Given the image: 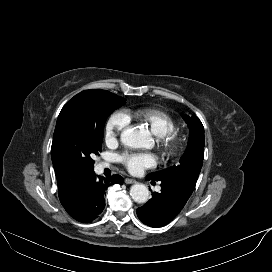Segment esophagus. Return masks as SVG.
<instances>
[{"instance_id": "obj_1", "label": "esophagus", "mask_w": 272, "mask_h": 272, "mask_svg": "<svg viewBox=\"0 0 272 272\" xmlns=\"http://www.w3.org/2000/svg\"><path fill=\"white\" fill-rule=\"evenodd\" d=\"M136 181L134 179H130V178H126L125 179V184H133L135 183Z\"/></svg>"}]
</instances>
